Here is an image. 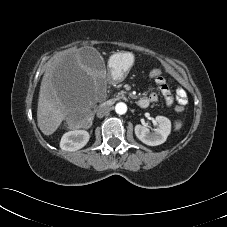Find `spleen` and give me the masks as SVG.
I'll use <instances>...</instances> for the list:
<instances>
[{"label":"spleen","instance_id":"3e777b00","mask_svg":"<svg viewBox=\"0 0 227 227\" xmlns=\"http://www.w3.org/2000/svg\"><path fill=\"white\" fill-rule=\"evenodd\" d=\"M175 127H176V129H179L181 127V123H179V122L176 123V126Z\"/></svg>","mask_w":227,"mask_h":227}]
</instances>
